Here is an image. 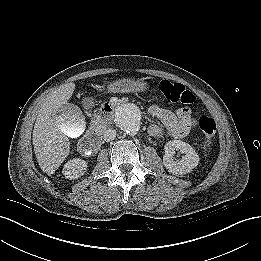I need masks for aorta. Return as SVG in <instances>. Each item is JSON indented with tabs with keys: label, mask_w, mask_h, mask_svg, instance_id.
Here are the masks:
<instances>
[{
	"label": "aorta",
	"mask_w": 261,
	"mask_h": 261,
	"mask_svg": "<svg viewBox=\"0 0 261 261\" xmlns=\"http://www.w3.org/2000/svg\"><path fill=\"white\" fill-rule=\"evenodd\" d=\"M115 123L124 132L134 135L141 126V111L133 103L121 105L115 113Z\"/></svg>",
	"instance_id": "1"
}]
</instances>
